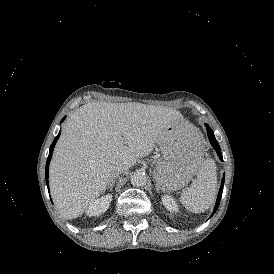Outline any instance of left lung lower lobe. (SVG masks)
I'll return each mask as SVG.
<instances>
[{"instance_id": "left-lung-lower-lobe-1", "label": "left lung lower lobe", "mask_w": 274, "mask_h": 274, "mask_svg": "<svg viewBox=\"0 0 274 274\" xmlns=\"http://www.w3.org/2000/svg\"><path fill=\"white\" fill-rule=\"evenodd\" d=\"M207 133H208V137H209V140H210V143L211 145L214 147V149L217 151V154L219 156V158L222 160V156H221V149L219 147V144L218 142L216 141L215 139V136L213 134V131L207 126ZM224 180L225 178L223 177L222 179V183H221V187H220V190H219V194H218V198H217V201H216V205H215V208H214V212L213 214L216 212V210L218 209V206H219V203H220V199H221V196H222V191H223V184H224ZM212 214V215H213ZM211 215V216H212Z\"/></svg>"}]
</instances>
